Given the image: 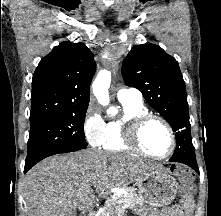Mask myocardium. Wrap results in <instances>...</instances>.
<instances>
[{"instance_id":"f54148a6","label":"myocardium","mask_w":221,"mask_h":216,"mask_svg":"<svg viewBox=\"0 0 221 216\" xmlns=\"http://www.w3.org/2000/svg\"><path fill=\"white\" fill-rule=\"evenodd\" d=\"M152 121H158L162 123L170 135L171 146H170V149L165 154L157 155V154L150 153L149 151L145 149L142 143L143 130ZM124 133H125V140L128 146L132 150L149 158H153V159L168 158L169 156L173 154L176 148V134H175L173 127L165 118L159 115L147 113L139 117H136L135 119H133L126 125Z\"/></svg>"}]
</instances>
